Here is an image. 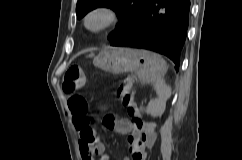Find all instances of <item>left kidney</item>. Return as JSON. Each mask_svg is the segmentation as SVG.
I'll return each mask as SVG.
<instances>
[{
    "label": "left kidney",
    "mask_w": 242,
    "mask_h": 160,
    "mask_svg": "<svg viewBox=\"0 0 242 160\" xmlns=\"http://www.w3.org/2000/svg\"><path fill=\"white\" fill-rule=\"evenodd\" d=\"M154 102H155V100L151 101L150 104H149V106L151 108H153V109H151L150 113H155V112L162 113L165 109V99L160 103V107H159L158 111H156L155 107H153Z\"/></svg>",
    "instance_id": "obj_1"
}]
</instances>
